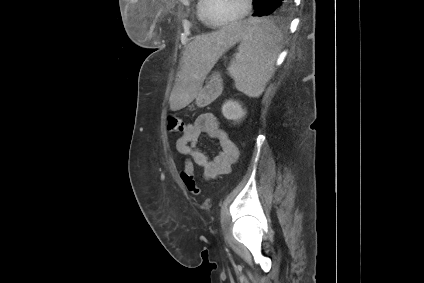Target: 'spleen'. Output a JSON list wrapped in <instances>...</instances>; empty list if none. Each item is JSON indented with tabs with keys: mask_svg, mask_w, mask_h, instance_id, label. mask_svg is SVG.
Masks as SVG:
<instances>
[{
	"mask_svg": "<svg viewBox=\"0 0 424 283\" xmlns=\"http://www.w3.org/2000/svg\"><path fill=\"white\" fill-rule=\"evenodd\" d=\"M245 23L247 31L228 73L238 91L259 97L274 74L283 37L279 28L270 21L252 18Z\"/></svg>",
	"mask_w": 424,
	"mask_h": 283,
	"instance_id": "obj_1",
	"label": "spleen"
}]
</instances>
